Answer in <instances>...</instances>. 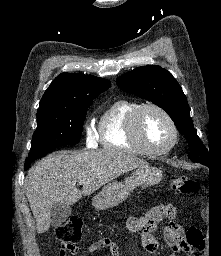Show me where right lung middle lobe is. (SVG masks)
Here are the masks:
<instances>
[{
	"label": "right lung middle lobe",
	"instance_id": "obj_1",
	"mask_svg": "<svg viewBox=\"0 0 221 256\" xmlns=\"http://www.w3.org/2000/svg\"><path fill=\"white\" fill-rule=\"evenodd\" d=\"M92 102L93 98H84L71 109L37 112V129L33 134L31 150L24 169L27 170L35 159L58 147L78 143L87 108Z\"/></svg>",
	"mask_w": 221,
	"mask_h": 256
}]
</instances>
